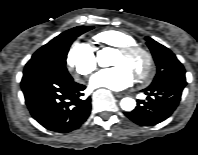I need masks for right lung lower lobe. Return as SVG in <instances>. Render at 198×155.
Masks as SVG:
<instances>
[{
	"instance_id": "right-lung-lower-lobe-1",
	"label": "right lung lower lobe",
	"mask_w": 198,
	"mask_h": 155,
	"mask_svg": "<svg viewBox=\"0 0 198 155\" xmlns=\"http://www.w3.org/2000/svg\"><path fill=\"white\" fill-rule=\"evenodd\" d=\"M21 88L32 117L48 130L71 132L90 114L91 98L82 97L86 87L73 79L27 73L23 75Z\"/></svg>"
}]
</instances>
